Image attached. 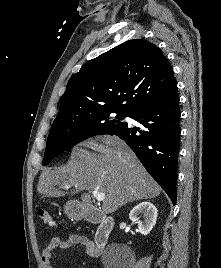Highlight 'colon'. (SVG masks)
I'll return each mask as SVG.
<instances>
[{
	"label": "colon",
	"instance_id": "5ec220e1",
	"mask_svg": "<svg viewBox=\"0 0 221 268\" xmlns=\"http://www.w3.org/2000/svg\"><path fill=\"white\" fill-rule=\"evenodd\" d=\"M38 215H39L40 219L43 221L44 224L48 225L49 227H54L55 226V222H54L51 214L47 210L40 209L38 211Z\"/></svg>",
	"mask_w": 221,
	"mask_h": 268
}]
</instances>
